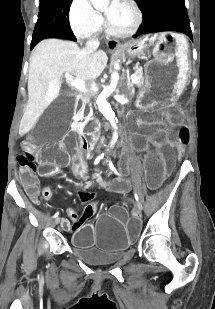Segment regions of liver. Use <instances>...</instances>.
Segmentation results:
<instances>
[{
    "instance_id": "liver-1",
    "label": "liver",
    "mask_w": 215,
    "mask_h": 309,
    "mask_svg": "<svg viewBox=\"0 0 215 309\" xmlns=\"http://www.w3.org/2000/svg\"><path fill=\"white\" fill-rule=\"evenodd\" d=\"M104 50L87 52L77 42L45 38L31 52L28 74V104L19 126V134L31 130L37 118L60 92L64 72L80 80L97 78L107 64Z\"/></svg>"
}]
</instances>
